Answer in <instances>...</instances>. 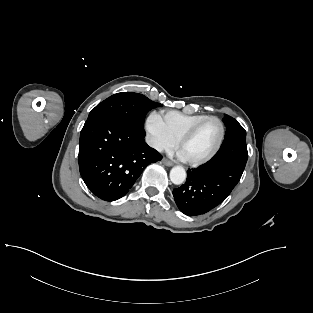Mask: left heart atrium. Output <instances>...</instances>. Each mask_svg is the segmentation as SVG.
Here are the masks:
<instances>
[{"instance_id":"obj_1","label":"left heart atrium","mask_w":313,"mask_h":313,"mask_svg":"<svg viewBox=\"0 0 313 313\" xmlns=\"http://www.w3.org/2000/svg\"><path fill=\"white\" fill-rule=\"evenodd\" d=\"M178 157L182 160H186V158L184 157V155L180 151L178 152Z\"/></svg>"}]
</instances>
